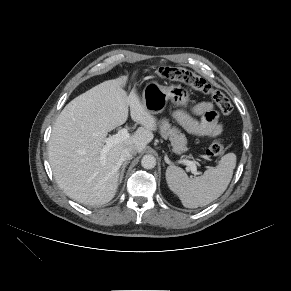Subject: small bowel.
I'll return each mask as SVG.
<instances>
[{
    "instance_id": "obj_1",
    "label": "small bowel",
    "mask_w": 291,
    "mask_h": 291,
    "mask_svg": "<svg viewBox=\"0 0 291 291\" xmlns=\"http://www.w3.org/2000/svg\"><path fill=\"white\" fill-rule=\"evenodd\" d=\"M193 113L200 116V120L193 119L183 112H176V118L189 130L200 136L215 137L222 132L223 126L210 103L197 104L193 108Z\"/></svg>"
}]
</instances>
